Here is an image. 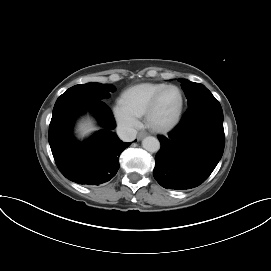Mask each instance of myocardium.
I'll return each mask as SVG.
<instances>
[{
    "mask_svg": "<svg viewBox=\"0 0 271 271\" xmlns=\"http://www.w3.org/2000/svg\"><path fill=\"white\" fill-rule=\"evenodd\" d=\"M169 89H175L179 93V97H180L179 107L171 120H169L166 123L160 124L154 120V114L156 112V109L159 105V102L163 94ZM183 108H184V95H183L182 90L176 85H172V84L166 85L155 94V96L152 98L151 102L149 103L144 115L146 123L152 130L156 132H161V133L167 132L171 130L174 126H176V124L179 122L182 112H183Z\"/></svg>",
    "mask_w": 271,
    "mask_h": 271,
    "instance_id": "f54148a6",
    "label": "myocardium"
}]
</instances>
